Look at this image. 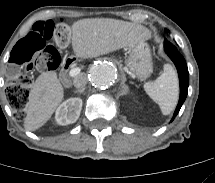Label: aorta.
<instances>
[{
  "label": "aorta",
  "mask_w": 215,
  "mask_h": 183,
  "mask_svg": "<svg viewBox=\"0 0 215 183\" xmlns=\"http://www.w3.org/2000/svg\"><path fill=\"white\" fill-rule=\"evenodd\" d=\"M117 67L108 61H99L89 70L88 78L91 84L98 89H107L116 81Z\"/></svg>",
  "instance_id": "obj_1"
}]
</instances>
